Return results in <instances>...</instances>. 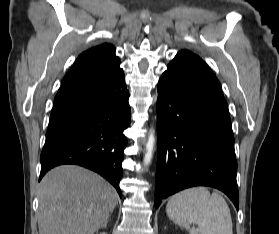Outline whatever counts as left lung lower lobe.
<instances>
[{
	"instance_id": "left-lung-lower-lobe-1",
	"label": "left lung lower lobe",
	"mask_w": 279,
	"mask_h": 234,
	"mask_svg": "<svg viewBox=\"0 0 279 234\" xmlns=\"http://www.w3.org/2000/svg\"><path fill=\"white\" fill-rule=\"evenodd\" d=\"M155 207L188 187L223 191L239 206L237 161L227 102L208 65L177 53L158 82Z\"/></svg>"
}]
</instances>
